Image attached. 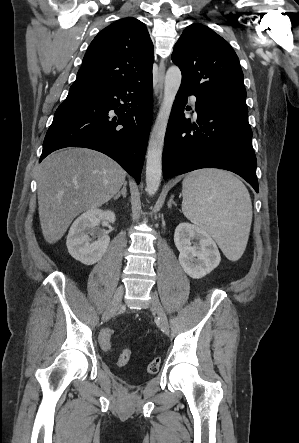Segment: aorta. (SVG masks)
Listing matches in <instances>:
<instances>
[{
	"label": "aorta",
	"instance_id": "obj_1",
	"mask_svg": "<svg viewBox=\"0 0 299 443\" xmlns=\"http://www.w3.org/2000/svg\"><path fill=\"white\" fill-rule=\"evenodd\" d=\"M181 79V71L177 66H171L167 70L163 102L151 131L147 149L146 190L149 195H154L161 183L164 138L172 105L180 87Z\"/></svg>",
	"mask_w": 299,
	"mask_h": 443
}]
</instances>
